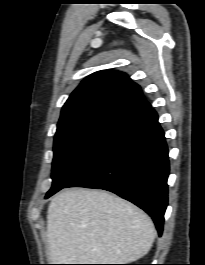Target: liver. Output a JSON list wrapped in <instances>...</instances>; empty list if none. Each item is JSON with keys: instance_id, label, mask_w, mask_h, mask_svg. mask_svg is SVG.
<instances>
[{"instance_id": "6515ba94", "label": "liver", "mask_w": 205, "mask_h": 265, "mask_svg": "<svg viewBox=\"0 0 205 265\" xmlns=\"http://www.w3.org/2000/svg\"><path fill=\"white\" fill-rule=\"evenodd\" d=\"M46 234L53 264H127L149 252L155 228L141 209L114 194L70 189L49 204Z\"/></svg>"}]
</instances>
